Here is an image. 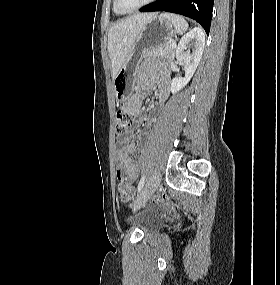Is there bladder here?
I'll use <instances>...</instances> for the list:
<instances>
[{
  "mask_svg": "<svg viewBox=\"0 0 280 285\" xmlns=\"http://www.w3.org/2000/svg\"><path fill=\"white\" fill-rule=\"evenodd\" d=\"M129 222L147 231L156 228L161 222V217L155 212L146 211L140 215L131 217Z\"/></svg>",
  "mask_w": 280,
  "mask_h": 285,
  "instance_id": "1",
  "label": "bladder"
}]
</instances>
